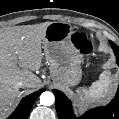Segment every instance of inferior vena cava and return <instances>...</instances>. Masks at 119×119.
Returning <instances> with one entry per match:
<instances>
[{
  "mask_svg": "<svg viewBox=\"0 0 119 119\" xmlns=\"http://www.w3.org/2000/svg\"><path fill=\"white\" fill-rule=\"evenodd\" d=\"M28 80L27 79H20L14 83V86L17 88H23L27 85Z\"/></svg>",
  "mask_w": 119,
  "mask_h": 119,
  "instance_id": "1",
  "label": "inferior vena cava"
}]
</instances>
